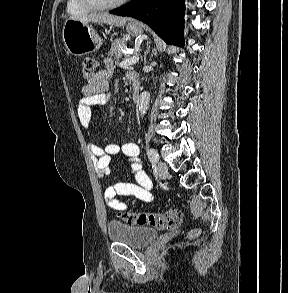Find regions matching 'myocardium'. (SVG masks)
<instances>
[{
	"label": "myocardium",
	"mask_w": 288,
	"mask_h": 293,
	"mask_svg": "<svg viewBox=\"0 0 288 293\" xmlns=\"http://www.w3.org/2000/svg\"><path fill=\"white\" fill-rule=\"evenodd\" d=\"M84 6L92 10H106L116 8L124 4L127 0H116L113 2H103L100 0H79Z\"/></svg>",
	"instance_id": "f54148a6"
}]
</instances>
